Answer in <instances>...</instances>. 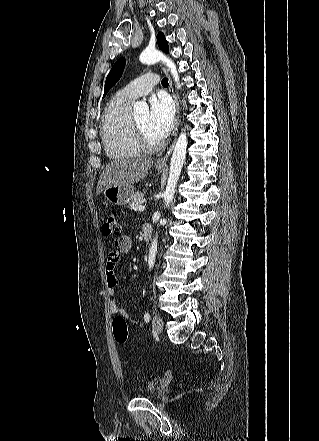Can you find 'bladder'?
Listing matches in <instances>:
<instances>
[{"label": "bladder", "instance_id": "bladder-1", "mask_svg": "<svg viewBox=\"0 0 319 441\" xmlns=\"http://www.w3.org/2000/svg\"><path fill=\"white\" fill-rule=\"evenodd\" d=\"M158 392V386L157 383L155 381H149L147 382L142 390V393L144 395H148V396H153L156 395Z\"/></svg>", "mask_w": 319, "mask_h": 441}]
</instances>
